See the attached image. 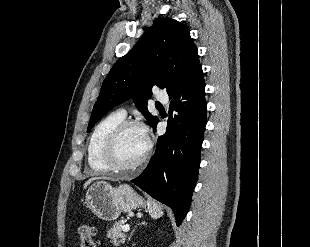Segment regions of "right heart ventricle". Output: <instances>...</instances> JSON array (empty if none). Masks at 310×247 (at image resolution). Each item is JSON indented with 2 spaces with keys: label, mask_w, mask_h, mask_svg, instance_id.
<instances>
[{
  "label": "right heart ventricle",
  "mask_w": 310,
  "mask_h": 247,
  "mask_svg": "<svg viewBox=\"0 0 310 247\" xmlns=\"http://www.w3.org/2000/svg\"><path fill=\"white\" fill-rule=\"evenodd\" d=\"M124 117L120 112H113L104 117L94 127L87 147L88 164L94 172L106 173L109 171L101 157L102 147L108 134L117 124L124 120Z\"/></svg>",
  "instance_id": "right-heart-ventricle-1"
}]
</instances>
